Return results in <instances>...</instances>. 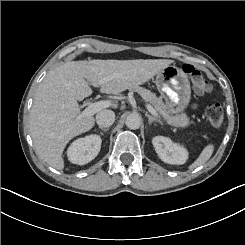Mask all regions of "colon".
<instances>
[{"instance_id":"obj_1","label":"colon","mask_w":245,"mask_h":245,"mask_svg":"<svg viewBox=\"0 0 245 245\" xmlns=\"http://www.w3.org/2000/svg\"><path fill=\"white\" fill-rule=\"evenodd\" d=\"M183 70L191 79L195 90L199 94H208L211 91V85L205 79L203 74L191 64H185ZM206 116L210 125L219 128L223 124L224 113L220 104L209 103L206 107Z\"/></svg>"}]
</instances>
